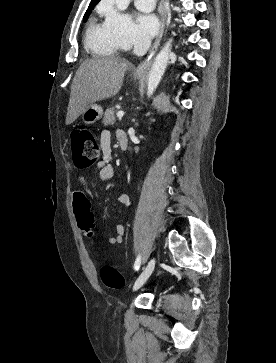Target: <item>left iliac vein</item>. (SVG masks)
<instances>
[{
    "mask_svg": "<svg viewBox=\"0 0 276 363\" xmlns=\"http://www.w3.org/2000/svg\"><path fill=\"white\" fill-rule=\"evenodd\" d=\"M155 263H156L155 258H151V260L148 262L146 268L136 279L134 287H133L134 290H138L146 282V280L149 278V276L152 274V272L154 270Z\"/></svg>",
    "mask_w": 276,
    "mask_h": 363,
    "instance_id": "left-iliac-vein-1",
    "label": "left iliac vein"
}]
</instances>
